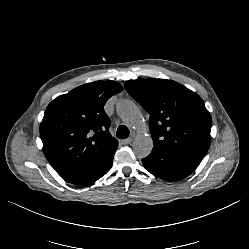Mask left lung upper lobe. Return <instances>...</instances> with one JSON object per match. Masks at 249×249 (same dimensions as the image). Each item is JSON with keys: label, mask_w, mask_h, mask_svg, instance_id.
<instances>
[{"label": "left lung upper lobe", "mask_w": 249, "mask_h": 249, "mask_svg": "<svg viewBox=\"0 0 249 249\" xmlns=\"http://www.w3.org/2000/svg\"><path fill=\"white\" fill-rule=\"evenodd\" d=\"M124 86L150 114L153 149L202 161L211 142L212 119L198 94L166 79L130 80Z\"/></svg>", "instance_id": "1"}]
</instances>
